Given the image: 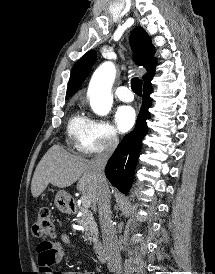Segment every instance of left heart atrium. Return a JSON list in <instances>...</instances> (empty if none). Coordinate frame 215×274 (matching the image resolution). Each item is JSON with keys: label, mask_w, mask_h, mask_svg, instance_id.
I'll list each match as a JSON object with an SVG mask.
<instances>
[{"label": "left heart atrium", "mask_w": 215, "mask_h": 274, "mask_svg": "<svg viewBox=\"0 0 215 274\" xmlns=\"http://www.w3.org/2000/svg\"><path fill=\"white\" fill-rule=\"evenodd\" d=\"M136 113L131 106H121L115 114V123L120 132L129 131L135 124Z\"/></svg>", "instance_id": "1"}]
</instances>
